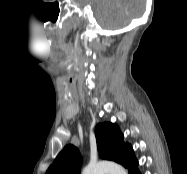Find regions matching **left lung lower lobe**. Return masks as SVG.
Instances as JSON below:
<instances>
[{
    "label": "left lung lower lobe",
    "mask_w": 187,
    "mask_h": 174,
    "mask_svg": "<svg viewBox=\"0 0 187 174\" xmlns=\"http://www.w3.org/2000/svg\"><path fill=\"white\" fill-rule=\"evenodd\" d=\"M138 164L135 165V167L129 172V174H140V172L138 171V169H136V166Z\"/></svg>",
    "instance_id": "left-lung-lower-lobe-1"
}]
</instances>
